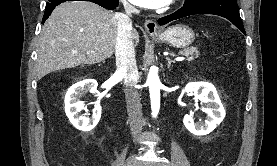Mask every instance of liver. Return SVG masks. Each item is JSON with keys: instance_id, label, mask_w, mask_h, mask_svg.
<instances>
[{"instance_id": "obj_1", "label": "liver", "mask_w": 277, "mask_h": 166, "mask_svg": "<svg viewBox=\"0 0 277 166\" xmlns=\"http://www.w3.org/2000/svg\"><path fill=\"white\" fill-rule=\"evenodd\" d=\"M115 14L87 1L58 5L42 27L38 43L37 76L81 64L92 65L110 58L116 45ZM135 46L136 29L131 31Z\"/></svg>"}]
</instances>
